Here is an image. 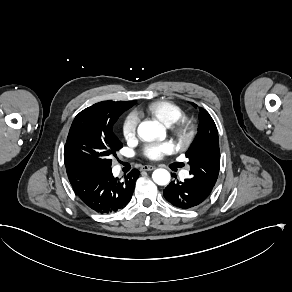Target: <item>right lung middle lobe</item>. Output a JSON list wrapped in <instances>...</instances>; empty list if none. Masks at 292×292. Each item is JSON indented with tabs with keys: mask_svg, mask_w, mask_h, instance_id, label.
I'll return each instance as SVG.
<instances>
[{
	"mask_svg": "<svg viewBox=\"0 0 292 292\" xmlns=\"http://www.w3.org/2000/svg\"><path fill=\"white\" fill-rule=\"evenodd\" d=\"M124 111H111L94 104L73 120L64 147L66 168L86 166L110 169V157L122 148L113 133V125Z\"/></svg>",
	"mask_w": 292,
	"mask_h": 292,
	"instance_id": "dd1d6c3e",
	"label": "right lung middle lobe"
}]
</instances>
